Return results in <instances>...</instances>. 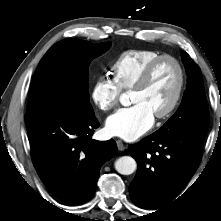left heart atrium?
<instances>
[{
	"label": "left heart atrium",
	"mask_w": 221,
	"mask_h": 221,
	"mask_svg": "<svg viewBox=\"0 0 221 221\" xmlns=\"http://www.w3.org/2000/svg\"><path fill=\"white\" fill-rule=\"evenodd\" d=\"M154 123V115L141 103L118 110L108 117L106 131L111 136L135 140L147 132Z\"/></svg>",
	"instance_id": "obj_1"
}]
</instances>
